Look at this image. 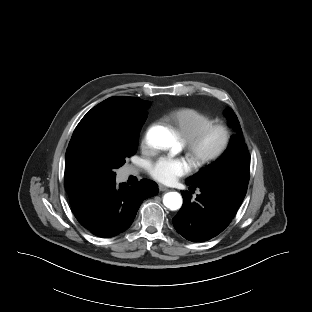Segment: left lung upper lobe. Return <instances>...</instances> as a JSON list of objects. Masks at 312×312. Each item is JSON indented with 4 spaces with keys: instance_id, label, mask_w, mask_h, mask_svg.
Masks as SVG:
<instances>
[{
    "instance_id": "obj_1",
    "label": "left lung upper lobe",
    "mask_w": 312,
    "mask_h": 312,
    "mask_svg": "<svg viewBox=\"0 0 312 312\" xmlns=\"http://www.w3.org/2000/svg\"><path fill=\"white\" fill-rule=\"evenodd\" d=\"M231 126L237 131L231 137L227 151L215 162L206 166L187 182L191 185H207L227 191L234 200L242 203L249 182L250 154L241 136L237 116L230 109L225 111Z\"/></svg>"
}]
</instances>
